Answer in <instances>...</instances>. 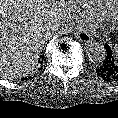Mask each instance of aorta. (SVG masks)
<instances>
[{"mask_svg":"<svg viewBox=\"0 0 118 118\" xmlns=\"http://www.w3.org/2000/svg\"><path fill=\"white\" fill-rule=\"evenodd\" d=\"M86 52L90 61L101 63L106 58L107 52L103 45L97 42H91L86 47Z\"/></svg>","mask_w":118,"mask_h":118,"instance_id":"aorta-1","label":"aorta"}]
</instances>
